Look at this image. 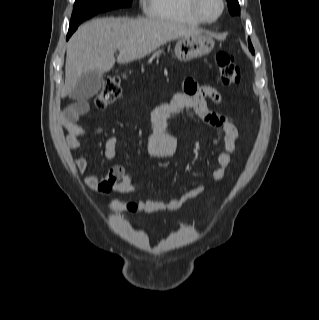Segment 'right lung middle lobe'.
Masks as SVG:
<instances>
[{
  "label": "right lung middle lobe",
  "mask_w": 319,
  "mask_h": 320,
  "mask_svg": "<svg viewBox=\"0 0 319 320\" xmlns=\"http://www.w3.org/2000/svg\"><path fill=\"white\" fill-rule=\"evenodd\" d=\"M131 5L132 0H75L69 31L76 30L81 22L97 13Z\"/></svg>",
  "instance_id": "right-lung-middle-lobe-1"
}]
</instances>
